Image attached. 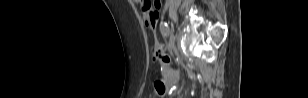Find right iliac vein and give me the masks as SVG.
Here are the masks:
<instances>
[{"mask_svg": "<svg viewBox=\"0 0 308 98\" xmlns=\"http://www.w3.org/2000/svg\"><path fill=\"white\" fill-rule=\"evenodd\" d=\"M174 42H175V39H174L173 34L171 33L169 37V44H168L170 50L174 48Z\"/></svg>", "mask_w": 308, "mask_h": 98, "instance_id": "63e3f726", "label": "right iliac vein"}]
</instances>
